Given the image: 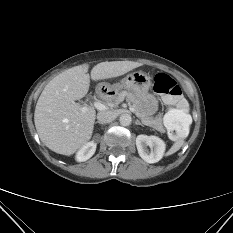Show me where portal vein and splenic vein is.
Here are the masks:
<instances>
[{
    "mask_svg": "<svg viewBox=\"0 0 233 233\" xmlns=\"http://www.w3.org/2000/svg\"><path fill=\"white\" fill-rule=\"evenodd\" d=\"M93 104H94L95 108L98 109V110L102 111V110L106 109V106L103 103L99 102V101H95ZM87 106L88 105L86 103H84L83 112L87 109ZM129 109H130L131 112L135 113V109L132 106H130ZM143 123L146 124V122H143Z\"/></svg>",
    "mask_w": 233,
    "mask_h": 233,
    "instance_id": "18ae733b",
    "label": "portal vein and splenic vein"
}]
</instances>
